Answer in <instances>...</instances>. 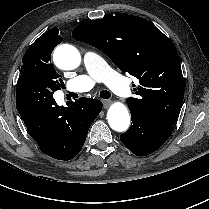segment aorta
<instances>
[{
	"label": "aorta",
	"mask_w": 209,
	"mask_h": 209,
	"mask_svg": "<svg viewBox=\"0 0 209 209\" xmlns=\"http://www.w3.org/2000/svg\"><path fill=\"white\" fill-rule=\"evenodd\" d=\"M53 59L60 69L72 70L80 65L81 55L74 46L62 44L55 49ZM107 120L113 130L117 132L126 131L130 125L127 107L120 102L112 104L107 112Z\"/></svg>",
	"instance_id": "obj_1"
}]
</instances>
